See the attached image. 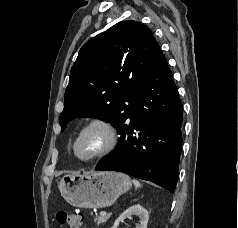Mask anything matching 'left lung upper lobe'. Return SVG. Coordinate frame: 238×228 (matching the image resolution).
<instances>
[{"label": "left lung upper lobe", "instance_id": "1", "mask_svg": "<svg viewBox=\"0 0 238 228\" xmlns=\"http://www.w3.org/2000/svg\"><path fill=\"white\" fill-rule=\"evenodd\" d=\"M159 50L151 30L133 20L86 42L71 68L61 131L78 116L105 119L119 130Z\"/></svg>", "mask_w": 238, "mask_h": 228}]
</instances>
